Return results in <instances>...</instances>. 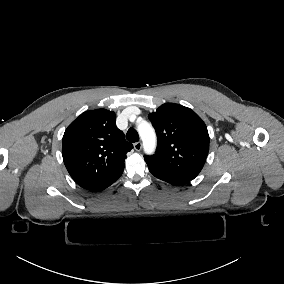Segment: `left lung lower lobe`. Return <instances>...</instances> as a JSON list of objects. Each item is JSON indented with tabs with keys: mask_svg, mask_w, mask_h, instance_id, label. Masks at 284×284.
Returning <instances> with one entry per match:
<instances>
[{
	"mask_svg": "<svg viewBox=\"0 0 284 284\" xmlns=\"http://www.w3.org/2000/svg\"><path fill=\"white\" fill-rule=\"evenodd\" d=\"M150 172L155 177H157L158 179L163 180V181L168 182V183L173 184V185H183V184H187L190 181L187 178L176 177V176H172V175L156 172V171H153V170H150Z\"/></svg>",
	"mask_w": 284,
	"mask_h": 284,
	"instance_id": "left-lung-lower-lobe-1",
	"label": "left lung lower lobe"
}]
</instances>
